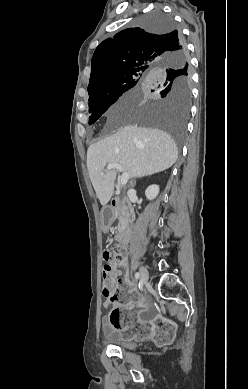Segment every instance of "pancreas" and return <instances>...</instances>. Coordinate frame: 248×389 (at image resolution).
<instances>
[{
	"label": "pancreas",
	"mask_w": 248,
	"mask_h": 389,
	"mask_svg": "<svg viewBox=\"0 0 248 389\" xmlns=\"http://www.w3.org/2000/svg\"><path fill=\"white\" fill-rule=\"evenodd\" d=\"M116 229L118 230V232H120V230H121L120 225H118V226L116 227Z\"/></svg>",
	"instance_id": "1"
}]
</instances>
